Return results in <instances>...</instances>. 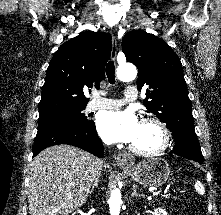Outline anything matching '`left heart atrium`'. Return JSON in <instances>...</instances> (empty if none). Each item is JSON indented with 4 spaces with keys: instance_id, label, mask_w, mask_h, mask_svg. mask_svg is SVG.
I'll return each instance as SVG.
<instances>
[{
    "instance_id": "left-heart-atrium-1",
    "label": "left heart atrium",
    "mask_w": 221,
    "mask_h": 215,
    "mask_svg": "<svg viewBox=\"0 0 221 215\" xmlns=\"http://www.w3.org/2000/svg\"><path fill=\"white\" fill-rule=\"evenodd\" d=\"M140 122L129 110L104 111L97 120V129L107 142L132 143L138 135Z\"/></svg>"
}]
</instances>
